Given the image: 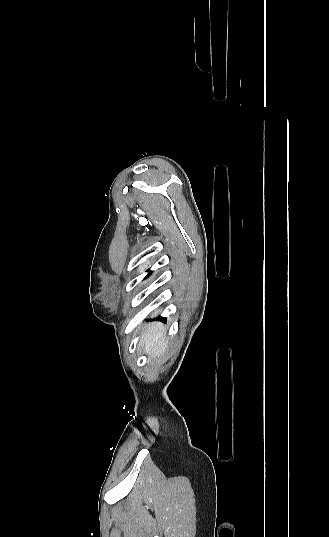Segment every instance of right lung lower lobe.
Returning <instances> with one entry per match:
<instances>
[{"label":"right lung lower lobe","mask_w":329,"mask_h":537,"mask_svg":"<svg viewBox=\"0 0 329 537\" xmlns=\"http://www.w3.org/2000/svg\"><path fill=\"white\" fill-rule=\"evenodd\" d=\"M150 273H151V271H150ZM150 273H149V274H150ZM149 274H148L145 278H147V277L149 276ZM161 319H162V320H166V318H161Z\"/></svg>","instance_id":"98d812e1"}]
</instances>
